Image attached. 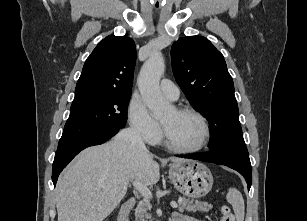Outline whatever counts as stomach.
Masks as SVG:
<instances>
[{"instance_id":"stomach-1","label":"stomach","mask_w":307,"mask_h":221,"mask_svg":"<svg viewBox=\"0 0 307 221\" xmlns=\"http://www.w3.org/2000/svg\"><path fill=\"white\" fill-rule=\"evenodd\" d=\"M169 177L174 186L190 198L205 196L213 186L210 169L197 161L173 162L169 166Z\"/></svg>"}]
</instances>
